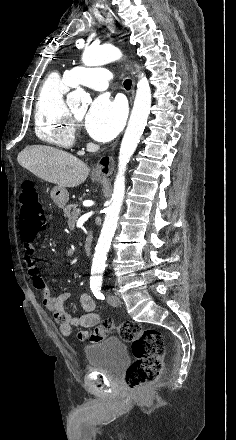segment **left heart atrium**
Returning <instances> with one entry per match:
<instances>
[{
	"label": "left heart atrium",
	"instance_id": "left-heart-atrium-1",
	"mask_svg": "<svg viewBox=\"0 0 236 440\" xmlns=\"http://www.w3.org/2000/svg\"><path fill=\"white\" fill-rule=\"evenodd\" d=\"M125 115V108L121 101L101 95L93 101L86 115V130L97 141H110L121 130Z\"/></svg>",
	"mask_w": 236,
	"mask_h": 440
}]
</instances>
